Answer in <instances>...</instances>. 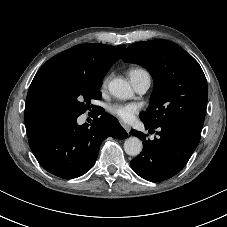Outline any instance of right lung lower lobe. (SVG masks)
<instances>
[{
  "label": "right lung lower lobe",
  "instance_id": "1",
  "mask_svg": "<svg viewBox=\"0 0 227 227\" xmlns=\"http://www.w3.org/2000/svg\"><path fill=\"white\" fill-rule=\"evenodd\" d=\"M77 118L56 119L28 137L39 164L51 174L64 179L79 177L90 170L101 143L107 137H127L118 120L101 108L95 112L90 125H78Z\"/></svg>",
  "mask_w": 227,
  "mask_h": 227
}]
</instances>
